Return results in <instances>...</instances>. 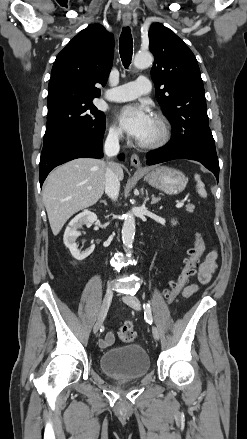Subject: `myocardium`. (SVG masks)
Masks as SVG:
<instances>
[{
    "mask_svg": "<svg viewBox=\"0 0 247 439\" xmlns=\"http://www.w3.org/2000/svg\"><path fill=\"white\" fill-rule=\"evenodd\" d=\"M153 119L157 122L160 130L159 136L150 142L140 141L138 145L144 149H157L165 146L171 139V127L167 119L159 114L155 113Z\"/></svg>",
    "mask_w": 247,
    "mask_h": 439,
    "instance_id": "f54148a6",
    "label": "myocardium"
}]
</instances>
